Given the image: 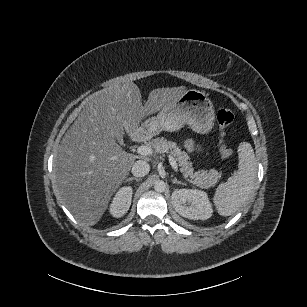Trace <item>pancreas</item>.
<instances>
[{"mask_svg": "<svg viewBox=\"0 0 307 307\" xmlns=\"http://www.w3.org/2000/svg\"><path fill=\"white\" fill-rule=\"evenodd\" d=\"M149 146L152 147L156 153L169 152L176 157L180 165V171L184 177H190V182L199 186L200 188L208 189L215 186L218 179L221 177V173L215 169L200 170L194 172L192 163L189 161V156L185 151H182L175 142L168 141L164 137H157L149 142Z\"/></svg>", "mask_w": 307, "mask_h": 307, "instance_id": "pancreas-1", "label": "pancreas"}]
</instances>
